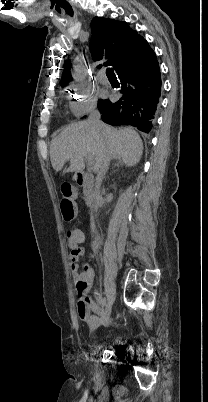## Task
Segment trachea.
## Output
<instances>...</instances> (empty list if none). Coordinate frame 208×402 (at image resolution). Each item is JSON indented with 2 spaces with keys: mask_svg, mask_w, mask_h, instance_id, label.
<instances>
[{
  "mask_svg": "<svg viewBox=\"0 0 208 402\" xmlns=\"http://www.w3.org/2000/svg\"><path fill=\"white\" fill-rule=\"evenodd\" d=\"M106 75L108 78H116L113 68H107Z\"/></svg>",
  "mask_w": 208,
  "mask_h": 402,
  "instance_id": "1",
  "label": "trachea"
}]
</instances>
